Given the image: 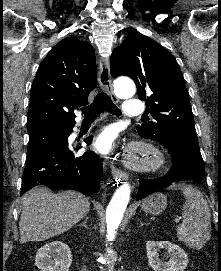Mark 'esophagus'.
<instances>
[{"label": "esophagus", "mask_w": 221, "mask_h": 271, "mask_svg": "<svg viewBox=\"0 0 221 271\" xmlns=\"http://www.w3.org/2000/svg\"><path fill=\"white\" fill-rule=\"evenodd\" d=\"M98 80L101 87L111 95L112 100L115 103H118L119 100L112 91L110 65H109V60L107 58L100 59ZM111 168H112V175L114 177L120 178L123 181L127 180V174L124 171L118 170V168H115L114 166H112Z\"/></svg>", "instance_id": "34e87169"}]
</instances>
